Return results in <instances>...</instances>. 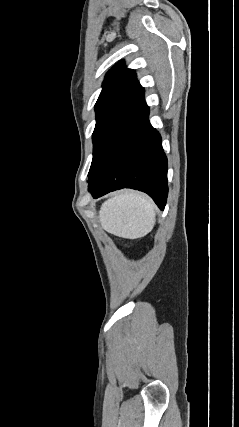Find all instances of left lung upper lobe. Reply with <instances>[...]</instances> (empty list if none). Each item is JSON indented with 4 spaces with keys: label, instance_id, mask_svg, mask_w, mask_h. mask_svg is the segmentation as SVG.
<instances>
[{
    "label": "left lung upper lobe",
    "instance_id": "obj_1",
    "mask_svg": "<svg viewBox=\"0 0 239 427\" xmlns=\"http://www.w3.org/2000/svg\"><path fill=\"white\" fill-rule=\"evenodd\" d=\"M145 106L144 88L137 81L135 71L127 69L123 61L117 63L106 74L95 104L93 159L88 176L113 136Z\"/></svg>",
    "mask_w": 239,
    "mask_h": 427
}]
</instances>
